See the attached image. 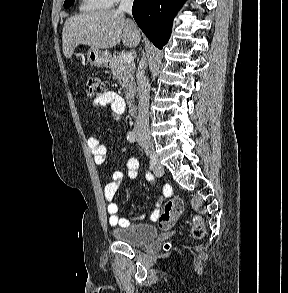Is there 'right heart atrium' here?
<instances>
[{"label":"right heart atrium","mask_w":288,"mask_h":293,"mask_svg":"<svg viewBox=\"0 0 288 293\" xmlns=\"http://www.w3.org/2000/svg\"><path fill=\"white\" fill-rule=\"evenodd\" d=\"M111 4H116L118 3L120 0H108Z\"/></svg>","instance_id":"d8ad5b80"}]
</instances>
